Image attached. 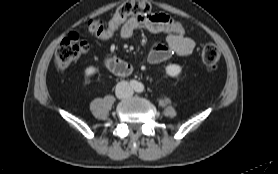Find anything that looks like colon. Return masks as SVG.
I'll use <instances>...</instances> for the list:
<instances>
[{
	"instance_id": "obj_1",
	"label": "colon",
	"mask_w": 278,
	"mask_h": 174,
	"mask_svg": "<svg viewBox=\"0 0 278 174\" xmlns=\"http://www.w3.org/2000/svg\"><path fill=\"white\" fill-rule=\"evenodd\" d=\"M151 11L149 3L145 0H127L120 5L112 18L108 23H105L102 19L91 20L88 23V29L91 33L97 37L107 39L114 36L121 24L129 17L147 14ZM167 26L180 35H186V29L184 25L171 17L165 19ZM89 49V45L86 41L80 38L76 33H70L58 46L55 54V65L58 69L64 70L71 64L76 62L83 54ZM202 63L208 70L216 68L219 59V48L213 44H206L201 53Z\"/></svg>"
}]
</instances>
